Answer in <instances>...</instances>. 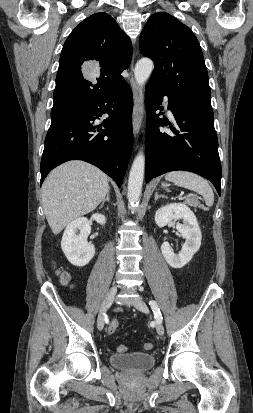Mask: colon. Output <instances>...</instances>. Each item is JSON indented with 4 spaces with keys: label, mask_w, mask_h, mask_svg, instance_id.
Wrapping results in <instances>:
<instances>
[{
    "label": "colon",
    "mask_w": 253,
    "mask_h": 413,
    "mask_svg": "<svg viewBox=\"0 0 253 413\" xmlns=\"http://www.w3.org/2000/svg\"><path fill=\"white\" fill-rule=\"evenodd\" d=\"M59 277H60V279L63 283H67L70 279L69 275L66 272H59ZM118 326H119L118 320H116V319L112 320L108 325V332L110 334L114 333L117 330ZM143 347H144L145 350H151L152 349V344L147 342L143 345ZM117 350L119 352H125L127 350V348L124 345H120V346H118Z\"/></svg>",
    "instance_id": "obj_1"
}]
</instances>
